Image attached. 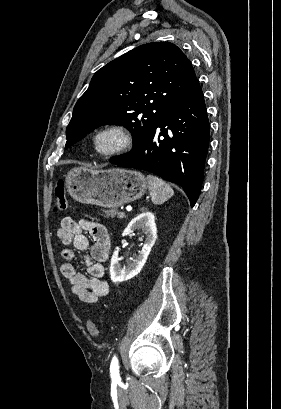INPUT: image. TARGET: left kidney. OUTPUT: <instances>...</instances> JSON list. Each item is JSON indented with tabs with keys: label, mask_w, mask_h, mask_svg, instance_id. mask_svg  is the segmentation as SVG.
<instances>
[{
	"label": "left kidney",
	"mask_w": 281,
	"mask_h": 409,
	"mask_svg": "<svg viewBox=\"0 0 281 409\" xmlns=\"http://www.w3.org/2000/svg\"><path fill=\"white\" fill-rule=\"evenodd\" d=\"M135 229H142L146 237L142 251L139 253L137 259H135L131 265H127L126 267V265H121L120 263L119 247H115L110 263V279L113 281V283L129 281V279H132V277L138 275L141 269H143L153 245H155V241L157 239V229L155 217L151 211L142 209L141 215H137L135 219H132L129 225H127L126 229H124L122 237L131 235V233H134Z\"/></svg>",
	"instance_id": "1"
}]
</instances>
